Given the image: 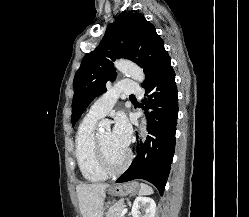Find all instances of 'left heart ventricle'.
Returning a JSON list of instances; mask_svg holds the SVG:
<instances>
[{
    "label": "left heart ventricle",
    "mask_w": 249,
    "mask_h": 217,
    "mask_svg": "<svg viewBox=\"0 0 249 217\" xmlns=\"http://www.w3.org/2000/svg\"><path fill=\"white\" fill-rule=\"evenodd\" d=\"M99 137L110 162L114 165H119L125 157L126 149H121L113 143L109 130L101 132Z\"/></svg>",
    "instance_id": "1"
}]
</instances>
